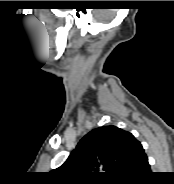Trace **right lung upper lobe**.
<instances>
[{"instance_id":"right-lung-upper-lobe-1","label":"right lung upper lobe","mask_w":174,"mask_h":184,"mask_svg":"<svg viewBox=\"0 0 174 184\" xmlns=\"http://www.w3.org/2000/svg\"><path fill=\"white\" fill-rule=\"evenodd\" d=\"M146 158L142 145L130 132L102 126L85 135L54 174L67 184L118 183Z\"/></svg>"}]
</instances>
